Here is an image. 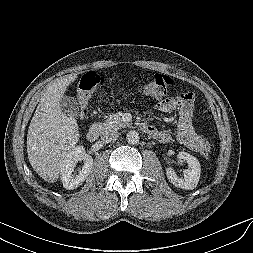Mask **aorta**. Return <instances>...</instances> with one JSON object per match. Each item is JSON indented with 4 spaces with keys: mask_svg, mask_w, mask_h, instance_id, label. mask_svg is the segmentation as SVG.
I'll use <instances>...</instances> for the list:
<instances>
[{
    "mask_svg": "<svg viewBox=\"0 0 253 253\" xmlns=\"http://www.w3.org/2000/svg\"><path fill=\"white\" fill-rule=\"evenodd\" d=\"M126 140L129 144H137L139 141V134L135 130H131L126 135Z\"/></svg>",
    "mask_w": 253,
    "mask_h": 253,
    "instance_id": "1",
    "label": "aorta"
}]
</instances>
